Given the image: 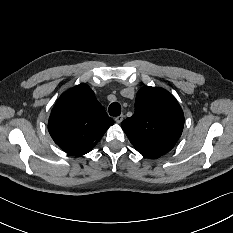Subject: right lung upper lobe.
Listing matches in <instances>:
<instances>
[{
    "instance_id": "cb5924a9",
    "label": "right lung upper lobe",
    "mask_w": 233,
    "mask_h": 233,
    "mask_svg": "<svg viewBox=\"0 0 233 233\" xmlns=\"http://www.w3.org/2000/svg\"><path fill=\"white\" fill-rule=\"evenodd\" d=\"M114 124L86 84L65 92L53 108L48 130L64 151L82 156L92 150Z\"/></svg>"
}]
</instances>
